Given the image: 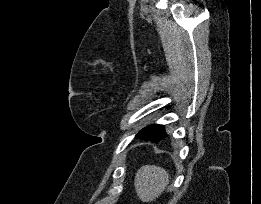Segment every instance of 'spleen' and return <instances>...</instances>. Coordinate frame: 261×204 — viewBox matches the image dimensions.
Listing matches in <instances>:
<instances>
[{
	"instance_id": "obj_1",
	"label": "spleen",
	"mask_w": 261,
	"mask_h": 204,
	"mask_svg": "<svg viewBox=\"0 0 261 204\" xmlns=\"http://www.w3.org/2000/svg\"><path fill=\"white\" fill-rule=\"evenodd\" d=\"M169 183V174L156 165L142 166L135 177V189L143 202L158 198Z\"/></svg>"
}]
</instances>
